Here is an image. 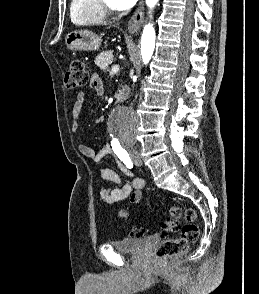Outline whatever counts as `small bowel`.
<instances>
[{
	"label": "small bowel",
	"mask_w": 259,
	"mask_h": 294,
	"mask_svg": "<svg viewBox=\"0 0 259 294\" xmlns=\"http://www.w3.org/2000/svg\"><path fill=\"white\" fill-rule=\"evenodd\" d=\"M91 86L98 95H103L104 86L97 75L92 76ZM84 102L85 95L84 93L80 92L72 107V116L74 118L73 132H77L79 130L78 119L81 115ZM78 149L84 157L96 163H99L105 156L115 157L109 144L102 146L97 152L87 144H80ZM117 166L124 175L129 177L133 176L129 168L119 160H117ZM100 174L103 180L119 185V187L113 189L103 188L100 191L101 198L105 204L114 205L125 200L126 198H130V201L134 204L139 203L144 186V181L141 178H133L130 181H123L115 170L106 167L100 170ZM119 216L126 217L127 212L125 210H120Z\"/></svg>",
	"instance_id": "c3829d8e"
}]
</instances>
